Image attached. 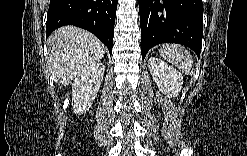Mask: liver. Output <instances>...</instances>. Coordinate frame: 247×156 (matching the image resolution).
<instances>
[{
	"mask_svg": "<svg viewBox=\"0 0 247 156\" xmlns=\"http://www.w3.org/2000/svg\"><path fill=\"white\" fill-rule=\"evenodd\" d=\"M105 46L90 32L65 26L55 30L47 40V63L54 79L68 85L81 71L97 64Z\"/></svg>",
	"mask_w": 247,
	"mask_h": 156,
	"instance_id": "1",
	"label": "liver"
}]
</instances>
